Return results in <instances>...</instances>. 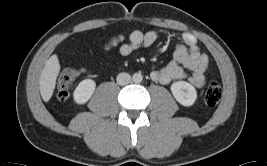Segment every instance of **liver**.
I'll list each match as a JSON object with an SVG mask.
<instances>
[{"label": "liver", "instance_id": "liver-1", "mask_svg": "<svg viewBox=\"0 0 267 166\" xmlns=\"http://www.w3.org/2000/svg\"><path fill=\"white\" fill-rule=\"evenodd\" d=\"M59 72L60 63L57 55L53 54L47 60L39 78L40 94L45 102H48L53 95Z\"/></svg>", "mask_w": 267, "mask_h": 166}]
</instances>
